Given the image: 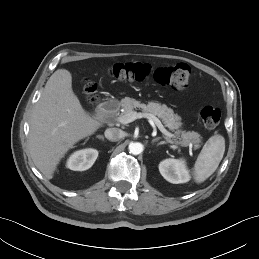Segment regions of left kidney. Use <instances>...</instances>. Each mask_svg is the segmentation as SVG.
<instances>
[{"label": "left kidney", "mask_w": 259, "mask_h": 259, "mask_svg": "<svg viewBox=\"0 0 259 259\" xmlns=\"http://www.w3.org/2000/svg\"><path fill=\"white\" fill-rule=\"evenodd\" d=\"M159 171L168 182L186 183L190 180L189 171L183 159H166L160 162Z\"/></svg>", "instance_id": "left-kidney-1"}]
</instances>
